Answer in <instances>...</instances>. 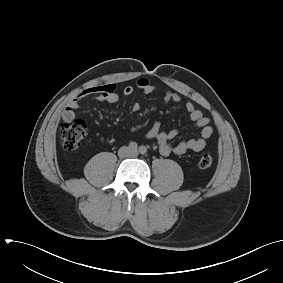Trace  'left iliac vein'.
Masks as SVG:
<instances>
[{
  "label": "left iliac vein",
  "instance_id": "4c4485c4",
  "mask_svg": "<svg viewBox=\"0 0 283 283\" xmlns=\"http://www.w3.org/2000/svg\"><path fill=\"white\" fill-rule=\"evenodd\" d=\"M131 154L134 155V156H136V155L138 154V152H137L136 150H132V151H131Z\"/></svg>",
  "mask_w": 283,
  "mask_h": 283
}]
</instances>
